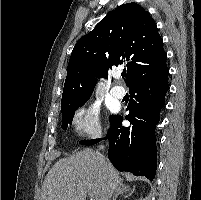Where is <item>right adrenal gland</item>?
Segmentation results:
<instances>
[{
	"label": "right adrenal gland",
	"mask_w": 201,
	"mask_h": 200,
	"mask_svg": "<svg viewBox=\"0 0 201 200\" xmlns=\"http://www.w3.org/2000/svg\"><path fill=\"white\" fill-rule=\"evenodd\" d=\"M129 191V187L125 186L123 184L119 185L116 189H115V193L113 195V200H116L118 198L119 195L126 193Z\"/></svg>",
	"instance_id": "obj_1"
}]
</instances>
